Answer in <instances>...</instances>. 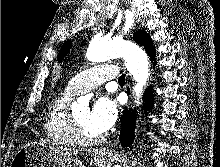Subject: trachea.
<instances>
[{
  "mask_svg": "<svg viewBox=\"0 0 220 167\" xmlns=\"http://www.w3.org/2000/svg\"><path fill=\"white\" fill-rule=\"evenodd\" d=\"M119 84H124L125 83V75L122 74L119 79H118Z\"/></svg>",
  "mask_w": 220,
  "mask_h": 167,
  "instance_id": "trachea-1",
  "label": "trachea"
}]
</instances>
